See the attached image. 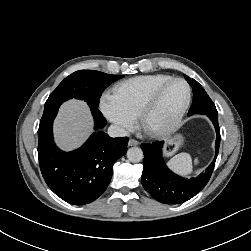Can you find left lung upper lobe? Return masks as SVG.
Wrapping results in <instances>:
<instances>
[{
  "mask_svg": "<svg viewBox=\"0 0 251 251\" xmlns=\"http://www.w3.org/2000/svg\"><path fill=\"white\" fill-rule=\"evenodd\" d=\"M185 79L189 83V85L192 86L193 95L199 98L197 102H192V105L189 109L188 116L195 114V113H201V114H212L217 115V110L208 96V94L205 92L203 87L194 79H190L188 76L185 75ZM202 110V111H199Z\"/></svg>",
  "mask_w": 251,
  "mask_h": 251,
  "instance_id": "5c2ea615",
  "label": "left lung upper lobe"
}]
</instances>
